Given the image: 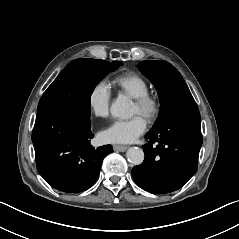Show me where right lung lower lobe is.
Instances as JSON below:
<instances>
[{
    "label": "right lung lower lobe",
    "mask_w": 239,
    "mask_h": 239,
    "mask_svg": "<svg viewBox=\"0 0 239 239\" xmlns=\"http://www.w3.org/2000/svg\"><path fill=\"white\" fill-rule=\"evenodd\" d=\"M90 112L78 104H58L37 111L32 132L39 174L53 188L79 193L90 188L99 176L111 145L90 144Z\"/></svg>",
    "instance_id": "98d812e1"
}]
</instances>
